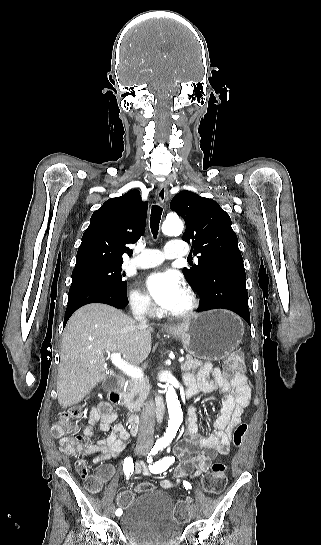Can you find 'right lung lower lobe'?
I'll return each mask as SVG.
<instances>
[{"mask_svg":"<svg viewBox=\"0 0 321 545\" xmlns=\"http://www.w3.org/2000/svg\"><path fill=\"white\" fill-rule=\"evenodd\" d=\"M89 303H105L116 308H124L128 305L127 291L94 281L72 282L64 325L78 308Z\"/></svg>","mask_w":321,"mask_h":545,"instance_id":"obj_1","label":"right lung lower lobe"}]
</instances>
